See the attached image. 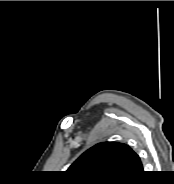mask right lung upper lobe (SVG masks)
I'll return each mask as SVG.
<instances>
[{"label":"right lung upper lobe","mask_w":174,"mask_h":184,"mask_svg":"<svg viewBox=\"0 0 174 184\" xmlns=\"http://www.w3.org/2000/svg\"><path fill=\"white\" fill-rule=\"evenodd\" d=\"M66 172L79 182L119 183L136 179L143 166L128 145L102 142L84 152Z\"/></svg>","instance_id":"cb5924a9"}]
</instances>
